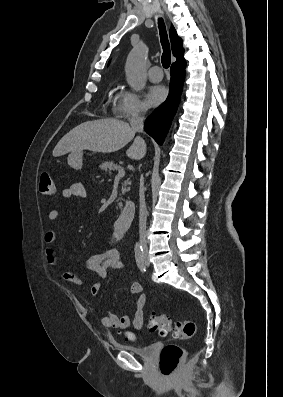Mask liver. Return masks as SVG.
Masks as SVG:
<instances>
[{"mask_svg": "<svg viewBox=\"0 0 283 397\" xmlns=\"http://www.w3.org/2000/svg\"><path fill=\"white\" fill-rule=\"evenodd\" d=\"M135 134L136 131L128 123L117 119L87 121L62 137L53 150V156L58 157L82 150L99 153L115 152L128 144ZM145 154V141L136 137L126 151V155L133 160H140Z\"/></svg>", "mask_w": 283, "mask_h": 397, "instance_id": "liver-1", "label": "liver"}]
</instances>
